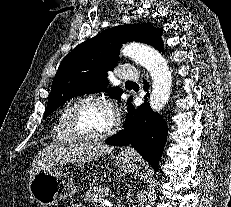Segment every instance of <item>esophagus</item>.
<instances>
[{
  "instance_id": "1",
  "label": "esophagus",
  "mask_w": 231,
  "mask_h": 207,
  "mask_svg": "<svg viewBox=\"0 0 231 207\" xmlns=\"http://www.w3.org/2000/svg\"><path fill=\"white\" fill-rule=\"evenodd\" d=\"M127 150L129 151V150H131L130 148H127Z\"/></svg>"
}]
</instances>
